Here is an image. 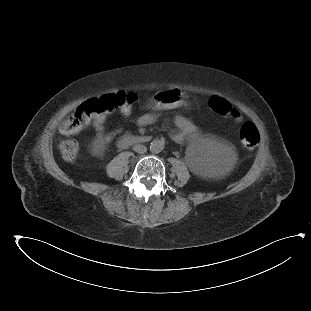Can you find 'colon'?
<instances>
[{
	"label": "colon",
	"instance_id": "1",
	"mask_svg": "<svg viewBox=\"0 0 311 311\" xmlns=\"http://www.w3.org/2000/svg\"><path fill=\"white\" fill-rule=\"evenodd\" d=\"M138 96L127 91H117L113 94L103 95L89 101L85 106L74 110L64 121L58 124L57 130L61 136H73L79 127L87 124L95 116L101 113H111L115 109L121 108L123 111H131L137 102ZM212 109L223 117L238 120L242 117L243 112L240 108L223 103L219 97L212 94L207 99ZM240 137L246 148L254 147L260 140L259 129L252 123H245L240 129ZM59 150L66 162H74L79 156V143L72 139L64 140L59 145Z\"/></svg>",
	"mask_w": 311,
	"mask_h": 311
}]
</instances>
